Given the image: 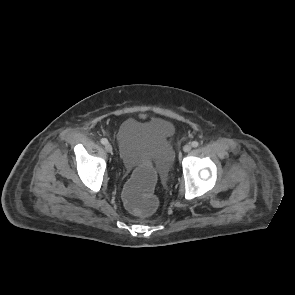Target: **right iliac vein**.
I'll use <instances>...</instances> for the list:
<instances>
[{"instance_id":"1","label":"right iliac vein","mask_w":295,"mask_h":295,"mask_svg":"<svg viewBox=\"0 0 295 295\" xmlns=\"http://www.w3.org/2000/svg\"><path fill=\"white\" fill-rule=\"evenodd\" d=\"M105 150H106L108 153H111V152H112V146H111L110 143H107V144L105 145Z\"/></svg>"}]
</instances>
